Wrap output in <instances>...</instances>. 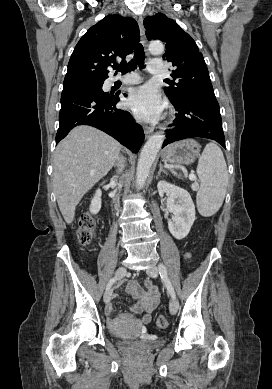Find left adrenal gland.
Wrapping results in <instances>:
<instances>
[{"mask_svg": "<svg viewBox=\"0 0 272 389\" xmlns=\"http://www.w3.org/2000/svg\"><path fill=\"white\" fill-rule=\"evenodd\" d=\"M161 172L167 174V172L163 169V165L160 163V165H159V171H158L157 176H160Z\"/></svg>", "mask_w": 272, "mask_h": 389, "instance_id": "1", "label": "left adrenal gland"}]
</instances>
